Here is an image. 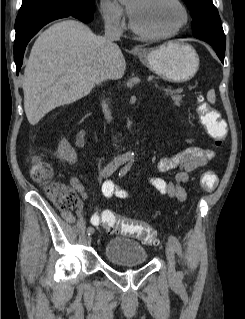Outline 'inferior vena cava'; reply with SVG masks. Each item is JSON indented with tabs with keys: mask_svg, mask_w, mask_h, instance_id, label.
Listing matches in <instances>:
<instances>
[{
	"mask_svg": "<svg viewBox=\"0 0 245 319\" xmlns=\"http://www.w3.org/2000/svg\"><path fill=\"white\" fill-rule=\"evenodd\" d=\"M105 21V44L109 51L119 50V47L114 41L120 40L121 32L119 31V21L118 16L115 14H107L104 16ZM101 82L100 79L97 80V84ZM103 113L107 122H111L112 113L108 104L104 103Z\"/></svg>",
	"mask_w": 245,
	"mask_h": 319,
	"instance_id": "602c4592",
	"label": "inferior vena cava"
}]
</instances>
